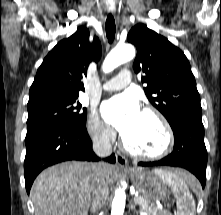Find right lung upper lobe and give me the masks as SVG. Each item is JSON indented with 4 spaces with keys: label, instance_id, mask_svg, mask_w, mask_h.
<instances>
[{
    "label": "right lung upper lobe",
    "instance_id": "right-lung-upper-lobe-1",
    "mask_svg": "<svg viewBox=\"0 0 221 215\" xmlns=\"http://www.w3.org/2000/svg\"><path fill=\"white\" fill-rule=\"evenodd\" d=\"M101 56L97 37L89 42V31L80 27L69 38L61 40L45 57L38 68L29 91L28 106L48 101L78 98L84 91L81 81L91 61Z\"/></svg>",
    "mask_w": 221,
    "mask_h": 215
}]
</instances>
